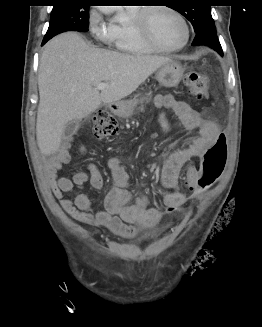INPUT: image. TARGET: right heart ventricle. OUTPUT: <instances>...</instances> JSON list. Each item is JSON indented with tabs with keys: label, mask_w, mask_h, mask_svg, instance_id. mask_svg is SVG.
<instances>
[{
	"label": "right heart ventricle",
	"mask_w": 262,
	"mask_h": 327,
	"mask_svg": "<svg viewBox=\"0 0 262 327\" xmlns=\"http://www.w3.org/2000/svg\"><path fill=\"white\" fill-rule=\"evenodd\" d=\"M139 8H129L127 15L129 16L128 21H117L112 25L113 27V43L115 47L126 53L131 54H151L158 52L151 46H149L141 35L138 33L134 19Z\"/></svg>",
	"instance_id": "obj_1"
}]
</instances>
